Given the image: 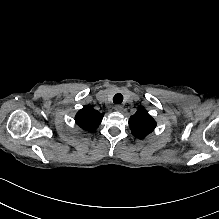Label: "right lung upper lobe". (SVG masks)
<instances>
[{"mask_svg":"<svg viewBox=\"0 0 219 219\" xmlns=\"http://www.w3.org/2000/svg\"><path fill=\"white\" fill-rule=\"evenodd\" d=\"M103 115L91 106H84L76 114L75 121L83 130L93 132L100 125Z\"/></svg>","mask_w":219,"mask_h":219,"instance_id":"right-lung-upper-lobe-1","label":"right lung upper lobe"}]
</instances>
